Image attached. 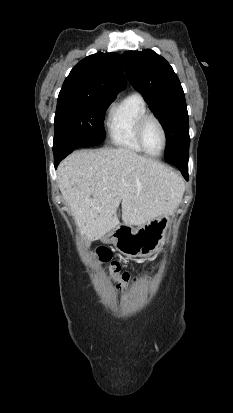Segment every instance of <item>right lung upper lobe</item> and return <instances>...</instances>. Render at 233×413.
I'll return each mask as SVG.
<instances>
[{
	"mask_svg": "<svg viewBox=\"0 0 233 413\" xmlns=\"http://www.w3.org/2000/svg\"><path fill=\"white\" fill-rule=\"evenodd\" d=\"M126 85L121 57L96 53L82 59L65 79L60 93L73 92L116 98Z\"/></svg>",
	"mask_w": 233,
	"mask_h": 413,
	"instance_id": "1",
	"label": "right lung upper lobe"
}]
</instances>
